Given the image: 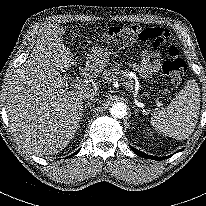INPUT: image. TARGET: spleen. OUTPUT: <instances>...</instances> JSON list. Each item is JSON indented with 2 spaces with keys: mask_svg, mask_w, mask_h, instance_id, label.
<instances>
[{
  "mask_svg": "<svg viewBox=\"0 0 206 206\" xmlns=\"http://www.w3.org/2000/svg\"><path fill=\"white\" fill-rule=\"evenodd\" d=\"M200 110V89L190 79L170 104L159 109L150 119L153 129L178 140L187 139L196 127Z\"/></svg>",
  "mask_w": 206,
  "mask_h": 206,
  "instance_id": "1",
  "label": "spleen"
}]
</instances>
